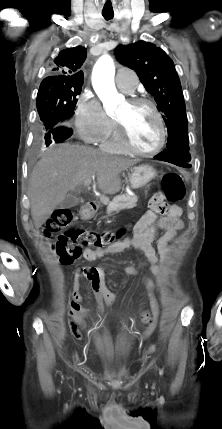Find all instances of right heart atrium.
Returning a JSON list of instances; mask_svg holds the SVG:
<instances>
[{
	"label": "right heart atrium",
	"instance_id": "right-heart-atrium-1",
	"mask_svg": "<svg viewBox=\"0 0 222 429\" xmlns=\"http://www.w3.org/2000/svg\"><path fill=\"white\" fill-rule=\"evenodd\" d=\"M74 117L77 132L89 143L104 140L115 128L114 120L107 115L100 100L88 89L79 95Z\"/></svg>",
	"mask_w": 222,
	"mask_h": 429
}]
</instances>
